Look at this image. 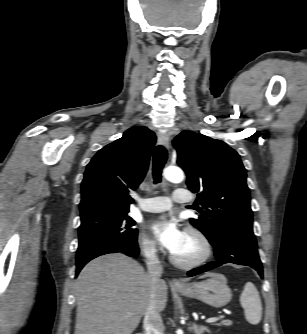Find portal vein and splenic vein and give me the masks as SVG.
I'll use <instances>...</instances> for the list:
<instances>
[{"label": "portal vein and splenic vein", "mask_w": 307, "mask_h": 334, "mask_svg": "<svg viewBox=\"0 0 307 334\" xmlns=\"http://www.w3.org/2000/svg\"><path fill=\"white\" fill-rule=\"evenodd\" d=\"M133 314L132 313H129L128 316H132ZM222 317L219 316V317H212V318H208L206 320L207 323H213V322H216L218 321L219 319H221Z\"/></svg>", "instance_id": "1"}]
</instances>
